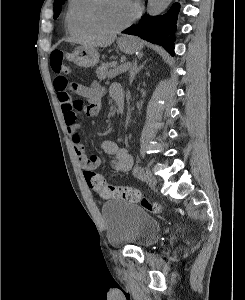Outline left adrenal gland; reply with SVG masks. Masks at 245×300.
<instances>
[{"instance_id":"obj_1","label":"left adrenal gland","mask_w":245,"mask_h":300,"mask_svg":"<svg viewBox=\"0 0 245 300\" xmlns=\"http://www.w3.org/2000/svg\"><path fill=\"white\" fill-rule=\"evenodd\" d=\"M145 63H146V61L142 65L138 66L137 65V60H135L133 62V65H132V67H131V69L129 71V75H130V77H129V85L132 84L133 80L135 79V76L141 71V69L143 68V66H144Z\"/></svg>"}]
</instances>
